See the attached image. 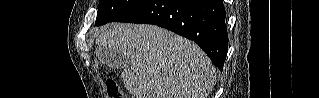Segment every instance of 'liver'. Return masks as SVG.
<instances>
[{
	"mask_svg": "<svg viewBox=\"0 0 319 98\" xmlns=\"http://www.w3.org/2000/svg\"><path fill=\"white\" fill-rule=\"evenodd\" d=\"M96 43L124 58L121 79L133 98H208L216 82L195 43L155 25L111 23Z\"/></svg>",
	"mask_w": 319,
	"mask_h": 98,
	"instance_id": "obj_1",
	"label": "liver"
}]
</instances>
